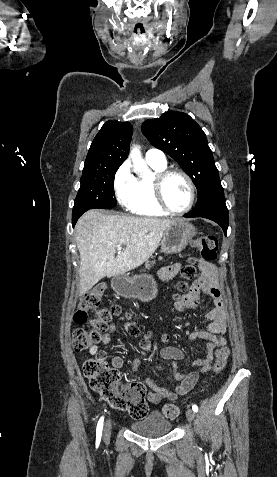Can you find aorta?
I'll return each mask as SVG.
<instances>
[{"label":"aorta","mask_w":277,"mask_h":477,"mask_svg":"<svg viewBox=\"0 0 277 477\" xmlns=\"http://www.w3.org/2000/svg\"><path fill=\"white\" fill-rule=\"evenodd\" d=\"M130 158L133 160L134 168L138 172L149 173V169L146 164L142 162L141 152L138 147H134L130 152Z\"/></svg>","instance_id":"aorta-1"}]
</instances>
